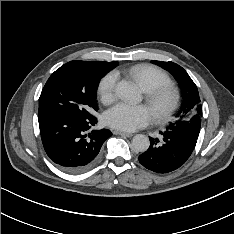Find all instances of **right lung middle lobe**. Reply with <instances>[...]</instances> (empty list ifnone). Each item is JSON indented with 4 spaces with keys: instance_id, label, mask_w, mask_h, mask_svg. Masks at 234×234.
<instances>
[{
    "instance_id": "right-lung-middle-lobe-1",
    "label": "right lung middle lobe",
    "mask_w": 234,
    "mask_h": 234,
    "mask_svg": "<svg viewBox=\"0 0 234 234\" xmlns=\"http://www.w3.org/2000/svg\"><path fill=\"white\" fill-rule=\"evenodd\" d=\"M107 72L75 61L61 66L41 92L38 119L48 115L92 118L97 111L96 90Z\"/></svg>"
}]
</instances>
